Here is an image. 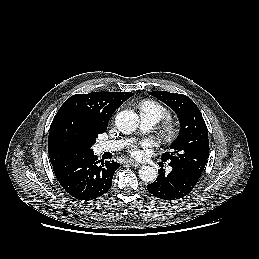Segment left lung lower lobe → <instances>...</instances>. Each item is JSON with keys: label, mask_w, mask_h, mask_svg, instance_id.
I'll return each mask as SVG.
<instances>
[{"label": "left lung lower lobe", "mask_w": 259, "mask_h": 259, "mask_svg": "<svg viewBox=\"0 0 259 259\" xmlns=\"http://www.w3.org/2000/svg\"><path fill=\"white\" fill-rule=\"evenodd\" d=\"M169 166L172 167L171 172L165 174L163 170H158L156 181L149 184L147 189L155 197L171 201L190 193L200 177L184 165L170 162Z\"/></svg>", "instance_id": "1"}]
</instances>
